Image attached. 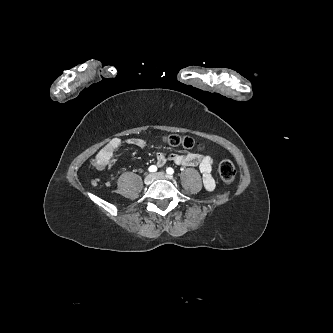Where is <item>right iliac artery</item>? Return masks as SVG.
<instances>
[{
	"instance_id": "82829eb1",
	"label": "right iliac artery",
	"mask_w": 333,
	"mask_h": 333,
	"mask_svg": "<svg viewBox=\"0 0 333 333\" xmlns=\"http://www.w3.org/2000/svg\"><path fill=\"white\" fill-rule=\"evenodd\" d=\"M149 172H156L157 171V167L155 165H152L149 167Z\"/></svg>"
}]
</instances>
